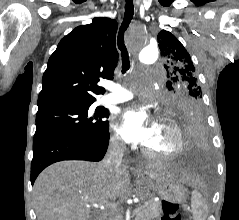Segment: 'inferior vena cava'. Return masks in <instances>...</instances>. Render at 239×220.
Returning <instances> with one entry per match:
<instances>
[{
    "mask_svg": "<svg viewBox=\"0 0 239 220\" xmlns=\"http://www.w3.org/2000/svg\"><path fill=\"white\" fill-rule=\"evenodd\" d=\"M124 151L125 143L118 139H112L110 141L107 153L101 162L102 168L113 170L120 167Z\"/></svg>",
    "mask_w": 239,
    "mask_h": 220,
    "instance_id": "602c4592",
    "label": "inferior vena cava"
}]
</instances>
